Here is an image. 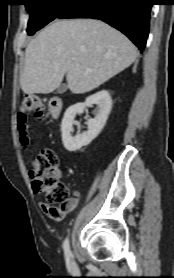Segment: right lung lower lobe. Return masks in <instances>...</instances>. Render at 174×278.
Returning a JSON list of instances; mask_svg holds the SVG:
<instances>
[{
  "instance_id": "98d812e1",
  "label": "right lung lower lobe",
  "mask_w": 174,
  "mask_h": 278,
  "mask_svg": "<svg viewBox=\"0 0 174 278\" xmlns=\"http://www.w3.org/2000/svg\"><path fill=\"white\" fill-rule=\"evenodd\" d=\"M152 5V0H78L58 18L101 19L128 36L143 51Z\"/></svg>"
}]
</instances>
